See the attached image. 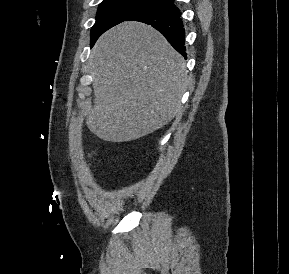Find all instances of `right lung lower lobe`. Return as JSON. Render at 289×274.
<instances>
[{
  "mask_svg": "<svg viewBox=\"0 0 289 274\" xmlns=\"http://www.w3.org/2000/svg\"><path fill=\"white\" fill-rule=\"evenodd\" d=\"M152 25L160 31L171 45L183 56L185 53V32L180 11L173 0H165L127 19Z\"/></svg>",
  "mask_w": 289,
  "mask_h": 274,
  "instance_id": "98d812e1",
  "label": "right lung lower lobe"
}]
</instances>
